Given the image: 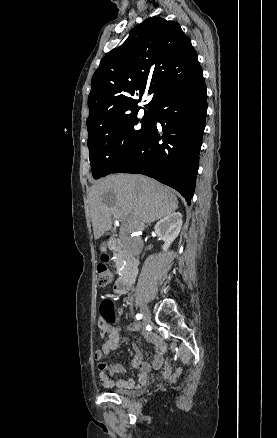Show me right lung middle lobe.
Returning a JSON list of instances; mask_svg holds the SVG:
<instances>
[{"label":"right lung middle lobe","instance_id":"right-lung-middle-lobe-1","mask_svg":"<svg viewBox=\"0 0 277 438\" xmlns=\"http://www.w3.org/2000/svg\"><path fill=\"white\" fill-rule=\"evenodd\" d=\"M138 111L88 127L89 159L93 177L114 172L138 145L151 123V109L140 118Z\"/></svg>","mask_w":277,"mask_h":438}]
</instances>
